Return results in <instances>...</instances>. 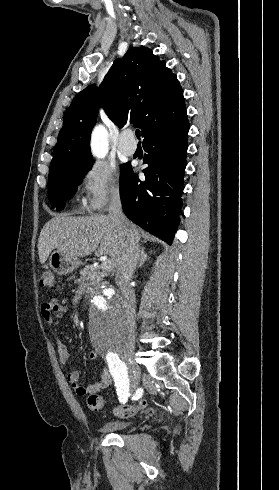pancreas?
Returning a JSON list of instances; mask_svg holds the SVG:
<instances>
[{"label": "pancreas", "mask_w": 279, "mask_h": 490, "mask_svg": "<svg viewBox=\"0 0 279 490\" xmlns=\"http://www.w3.org/2000/svg\"><path fill=\"white\" fill-rule=\"evenodd\" d=\"M113 268H109V266H96V268H94V266H85L80 274L87 280V282H89V286H91V284L102 282L103 278L109 276V270H113Z\"/></svg>", "instance_id": "obj_1"}]
</instances>
